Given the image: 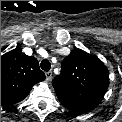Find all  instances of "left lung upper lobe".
<instances>
[{
    "label": "left lung upper lobe",
    "instance_id": "obj_1",
    "mask_svg": "<svg viewBox=\"0 0 122 122\" xmlns=\"http://www.w3.org/2000/svg\"><path fill=\"white\" fill-rule=\"evenodd\" d=\"M52 84L60 103L82 114L102 101L109 86V72L97 56L74 49L63 60L61 73Z\"/></svg>",
    "mask_w": 122,
    "mask_h": 122
}]
</instances>
